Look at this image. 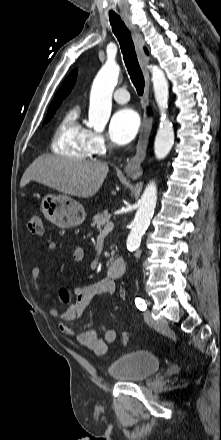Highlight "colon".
Masks as SVG:
<instances>
[{
	"instance_id": "colon-1",
	"label": "colon",
	"mask_w": 221,
	"mask_h": 440,
	"mask_svg": "<svg viewBox=\"0 0 221 440\" xmlns=\"http://www.w3.org/2000/svg\"><path fill=\"white\" fill-rule=\"evenodd\" d=\"M28 229L29 231L39 237L44 236L45 234V230H44V225H43V219L42 216L39 213H33L28 221ZM60 295L66 299L68 296V292L66 289L62 288L60 289ZM66 304L67 305H72L73 304V299L72 298H67L66 299ZM119 338L121 339L122 343L124 345H126L129 341V337H128V331L127 330H120L119 331Z\"/></svg>"
}]
</instances>
